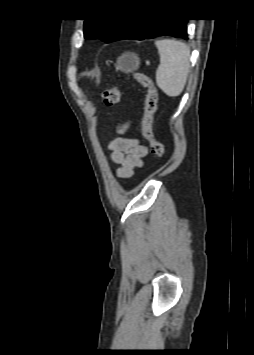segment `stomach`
<instances>
[{
    "instance_id": "1",
    "label": "stomach",
    "mask_w": 254,
    "mask_h": 355,
    "mask_svg": "<svg viewBox=\"0 0 254 355\" xmlns=\"http://www.w3.org/2000/svg\"><path fill=\"white\" fill-rule=\"evenodd\" d=\"M140 60L135 53L126 52L123 53L117 59V69L129 73L139 68Z\"/></svg>"
}]
</instances>
